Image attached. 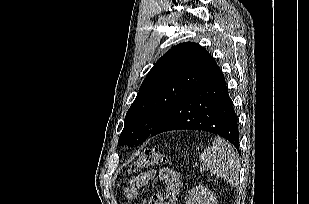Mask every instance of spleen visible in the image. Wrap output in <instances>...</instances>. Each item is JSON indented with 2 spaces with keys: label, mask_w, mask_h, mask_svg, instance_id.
Listing matches in <instances>:
<instances>
[{
  "label": "spleen",
  "mask_w": 309,
  "mask_h": 204,
  "mask_svg": "<svg viewBox=\"0 0 309 204\" xmlns=\"http://www.w3.org/2000/svg\"><path fill=\"white\" fill-rule=\"evenodd\" d=\"M201 163L210 169L211 173L235 185L239 179V158L232 146L215 137L212 146L206 148L199 156Z\"/></svg>",
  "instance_id": "3e777b00"
}]
</instances>
